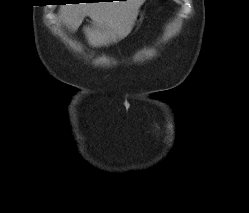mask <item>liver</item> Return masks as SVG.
Segmentation results:
<instances>
[{"mask_svg":"<svg viewBox=\"0 0 249 213\" xmlns=\"http://www.w3.org/2000/svg\"><path fill=\"white\" fill-rule=\"evenodd\" d=\"M145 0L67 4L60 7L64 24L76 31L86 16L92 25L84 33L92 46L101 47L124 39L133 29Z\"/></svg>","mask_w":249,"mask_h":213,"instance_id":"6515ba94","label":"liver"}]
</instances>
